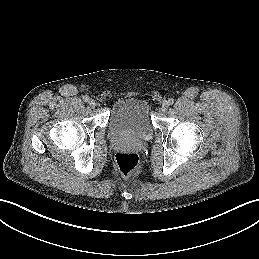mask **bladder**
<instances>
[{"label": "bladder", "mask_w": 259, "mask_h": 259, "mask_svg": "<svg viewBox=\"0 0 259 259\" xmlns=\"http://www.w3.org/2000/svg\"><path fill=\"white\" fill-rule=\"evenodd\" d=\"M108 129L113 136L150 138L154 126L149 102L136 96L120 98L111 109Z\"/></svg>", "instance_id": "obj_1"}]
</instances>
